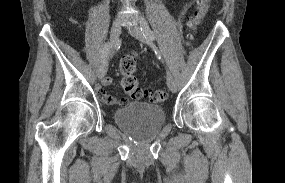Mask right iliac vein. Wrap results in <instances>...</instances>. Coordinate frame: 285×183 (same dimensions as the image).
<instances>
[{"instance_id":"obj_1","label":"right iliac vein","mask_w":285,"mask_h":183,"mask_svg":"<svg viewBox=\"0 0 285 183\" xmlns=\"http://www.w3.org/2000/svg\"><path fill=\"white\" fill-rule=\"evenodd\" d=\"M120 33H121V21L117 20L113 23L110 31L111 47H113L114 44L116 43L118 37L120 36ZM107 69H108V59L106 58L105 61L102 62L97 71V75L100 79L106 75Z\"/></svg>"}]
</instances>
